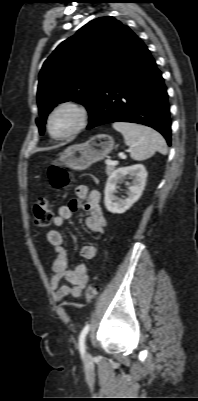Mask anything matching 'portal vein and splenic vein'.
<instances>
[{
	"label": "portal vein and splenic vein",
	"instance_id": "18ae733b",
	"mask_svg": "<svg viewBox=\"0 0 198 401\" xmlns=\"http://www.w3.org/2000/svg\"><path fill=\"white\" fill-rule=\"evenodd\" d=\"M120 157H121L122 159H125V158H126V156H125L124 154H120ZM106 163H107V164H110V163H117V162H112L110 159H108V160H106Z\"/></svg>",
	"mask_w": 198,
	"mask_h": 401
}]
</instances>
